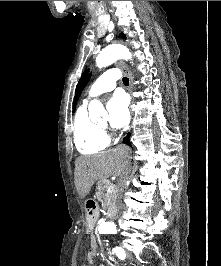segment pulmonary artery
I'll use <instances>...</instances> for the list:
<instances>
[{
  "instance_id": "pulmonary-artery-1",
  "label": "pulmonary artery",
  "mask_w": 221,
  "mask_h": 266,
  "mask_svg": "<svg viewBox=\"0 0 221 266\" xmlns=\"http://www.w3.org/2000/svg\"><path fill=\"white\" fill-rule=\"evenodd\" d=\"M120 75L115 69H109L96 80V82L91 86L87 97L84 99V105L88 104V102L105 93L112 91L116 86V81L119 79Z\"/></svg>"
}]
</instances>
